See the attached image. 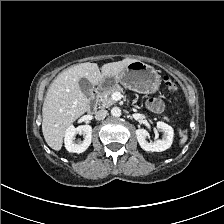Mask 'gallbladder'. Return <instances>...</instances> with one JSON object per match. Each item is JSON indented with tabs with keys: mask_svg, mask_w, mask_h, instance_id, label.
Instances as JSON below:
<instances>
[{
	"mask_svg": "<svg viewBox=\"0 0 224 224\" xmlns=\"http://www.w3.org/2000/svg\"><path fill=\"white\" fill-rule=\"evenodd\" d=\"M80 90L87 96L90 97L91 95V91H92V84L90 83V81L83 77L81 79H79L78 81Z\"/></svg>",
	"mask_w": 224,
	"mask_h": 224,
	"instance_id": "obj_1",
	"label": "gallbladder"
}]
</instances>
